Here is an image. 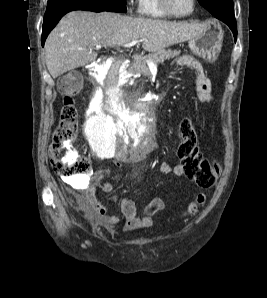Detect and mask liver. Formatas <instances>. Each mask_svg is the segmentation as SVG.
<instances>
[{"label":"liver","instance_id":"1","mask_svg":"<svg viewBox=\"0 0 267 298\" xmlns=\"http://www.w3.org/2000/svg\"><path fill=\"white\" fill-rule=\"evenodd\" d=\"M206 25L111 12L72 11L65 15L45 43L46 65L53 78L97 59L96 45L120 46L143 39V49L156 52L199 36Z\"/></svg>","mask_w":267,"mask_h":298}]
</instances>
